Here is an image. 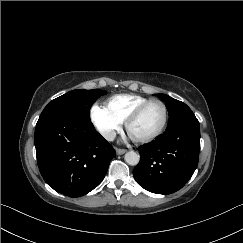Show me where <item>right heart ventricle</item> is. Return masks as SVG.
I'll use <instances>...</instances> for the list:
<instances>
[{"label": "right heart ventricle", "mask_w": 243, "mask_h": 243, "mask_svg": "<svg viewBox=\"0 0 243 243\" xmlns=\"http://www.w3.org/2000/svg\"><path fill=\"white\" fill-rule=\"evenodd\" d=\"M148 100L150 98L136 94H117L107 101V109L124 122L138 106Z\"/></svg>", "instance_id": "right-heart-ventricle-1"}]
</instances>
